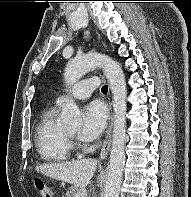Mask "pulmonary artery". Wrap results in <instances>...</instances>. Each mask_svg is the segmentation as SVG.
I'll list each match as a JSON object with an SVG mask.
<instances>
[{
	"mask_svg": "<svg viewBox=\"0 0 191 197\" xmlns=\"http://www.w3.org/2000/svg\"><path fill=\"white\" fill-rule=\"evenodd\" d=\"M99 86L98 79L91 77L78 82L68 93L62 94L57 97L56 104L61 105L68 98L73 99H86L89 98L92 92Z\"/></svg>",
	"mask_w": 191,
	"mask_h": 197,
	"instance_id": "pulmonary-artery-1",
	"label": "pulmonary artery"
}]
</instances>
